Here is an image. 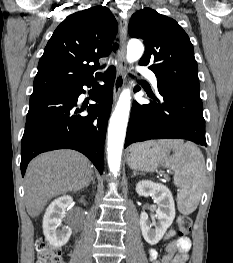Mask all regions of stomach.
Returning a JSON list of instances; mask_svg holds the SVG:
<instances>
[{"label":"stomach","instance_id":"obj_1","mask_svg":"<svg viewBox=\"0 0 233 263\" xmlns=\"http://www.w3.org/2000/svg\"><path fill=\"white\" fill-rule=\"evenodd\" d=\"M169 153V148L158 141L137 143L129 149L128 165L134 170L153 172L167 161Z\"/></svg>","mask_w":233,"mask_h":263}]
</instances>
